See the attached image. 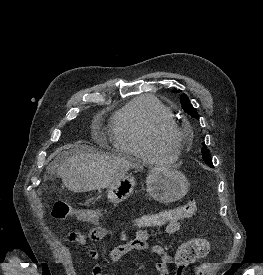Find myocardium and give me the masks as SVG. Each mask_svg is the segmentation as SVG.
I'll list each match as a JSON object with an SVG mask.
<instances>
[{"label": "myocardium", "instance_id": "obj_1", "mask_svg": "<svg viewBox=\"0 0 263 275\" xmlns=\"http://www.w3.org/2000/svg\"><path fill=\"white\" fill-rule=\"evenodd\" d=\"M152 138L158 146L177 151L183 142L184 132L176 122H165L154 128Z\"/></svg>", "mask_w": 263, "mask_h": 275}]
</instances>
